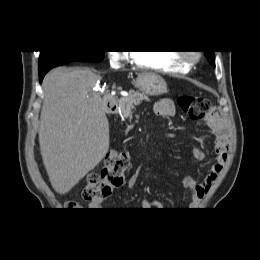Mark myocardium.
Segmentation results:
<instances>
[{"label":"myocardium","instance_id":"obj_1","mask_svg":"<svg viewBox=\"0 0 260 260\" xmlns=\"http://www.w3.org/2000/svg\"><path fill=\"white\" fill-rule=\"evenodd\" d=\"M179 59L190 65L199 59V54L196 52H184L179 55Z\"/></svg>","mask_w":260,"mask_h":260}]
</instances>
